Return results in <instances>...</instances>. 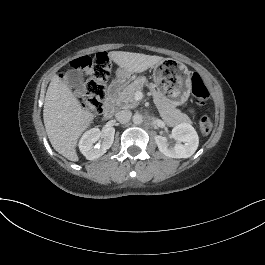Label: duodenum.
<instances>
[{"label":"duodenum","instance_id":"obj_1","mask_svg":"<svg viewBox=\"0 0 265 265\" xmlns=\"http://www.w3.org/2000/svg\"><path fill=\"white\" fill-rule=\"evenodd\" d=\"M125 82L124 78H118L109 85L103 112L106 119L111 118L115 113L117 97Z\"/></svg>","mask_w":265,"mask_h":265}]
</instances>
